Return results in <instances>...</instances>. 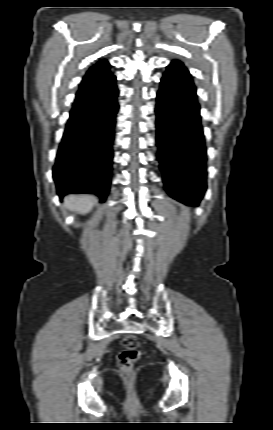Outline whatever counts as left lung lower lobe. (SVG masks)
Segmentation results:
<instances>
[{
	"label": "left lung lower lobe",
	"instance_id": "1",
	"mask_svg": "<svg viewBox=\"0 0 273 430\" xmlns=\"http://www.w3.org/2000/svg\"><path fill=\"white\" fill-rule=\"evenodd\" d=\"M187 72L172 68L157 93L158 160L169 195L187 206L199 205L206 190V147L196 89Z\"/></svg>",
	"mask_w": 273,
	"mask_h": 430
}]
</instances>
